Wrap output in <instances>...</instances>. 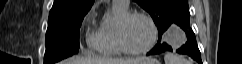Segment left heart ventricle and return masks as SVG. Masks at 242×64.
Masks as SVG:
<instances>
[{
  "mask_svg": "<svg viewBox=\"0 0 242 64\" xmlns=\"http://www.w3.org/2000/svg\"><path fill=\"white\" fill-rule=\"evenodd\" d=\"M151 35V27L144 18L134 17L125 26V41L132 49L144 48L149 43Z\"/></svg>",
  "mask_w": 242,
  "mask_h": 64,
  "instance_id": "obj_1",
  "label": "left heart ventricle"
}]
</instances>
